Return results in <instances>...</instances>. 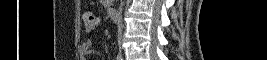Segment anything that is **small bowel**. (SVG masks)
<instances>
[{
  "instance_id": "obj_1",
  "label": "small bowel",
  "mask_w": 267,
  "mask_h": 60,
  "mask_svg": "<svg viewBox=\"0 0 267 60\" xmlns=\"http://www.w3.org/2000/svg\"><path fill=\"white\" fill-rule=\"evenodd\" d=\"M83 50L87 54L97 53V51L93 48V43L91 40H87L83 44Z\"/></svg>"
}]
</instances>
